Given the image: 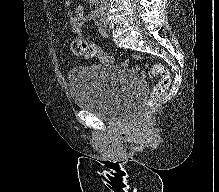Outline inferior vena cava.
<instances>
[{"instance_id": "inferior-vena-cava-1", "label": "inferior vena cava", "mask_w": 219, "mask_h": 192, "mask_svg": "<svg viewBox=\"0 0 219 192\" xmlns=\"http://www.w3.org/2000/svg\"><path fill=\"white\" fill-rule=\"evenodd\" d=\"M102 3L104 5V9H107V7L109 5V0H102Z\"/></svg>"}]
</instances>
